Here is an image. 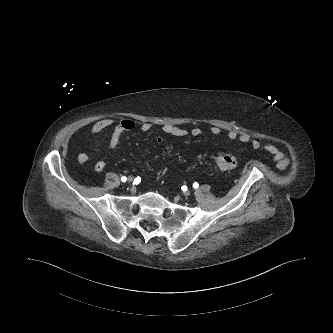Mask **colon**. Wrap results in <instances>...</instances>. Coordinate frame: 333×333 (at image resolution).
<instances>
[{
	"mask_svg": "<svg viewBox=\"0 0 333 333\" xmlns=\"http://www.w3.org/2000/svg\"><path fill=\"white\" fill-rule=\"evenodd\" d=\"M215 165L222 171L231 172L237 168L238 160L233 155L220 154L215 158Z\"/></svg>",
	"mask_w": 333,
	"mask_h": 333,
	"instance_id": "5ec220e1",
	"label": "colon"
}]
</instances>
